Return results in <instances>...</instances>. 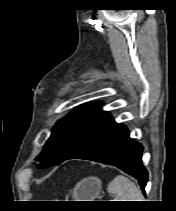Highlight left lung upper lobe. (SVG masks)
<instances>
[{
	"label": "left lung upper lobe",
	"instance_id": "obj_1",
	"mask_svg": "<svg viewBox=\"0 0 176 211\" xmlns=\"http://www.w3.org/2000/svg\"><path fill=\"white\" fill-rule=\"evenodd\" d=\"M102 103L82 105L54 126L40 156L39 167L58 165L81 149L85 143L111 120L109 113L100 109Z\"/></svg>",
	"mask_w": 176,
	"mask_h": 211
}]
</instances>
